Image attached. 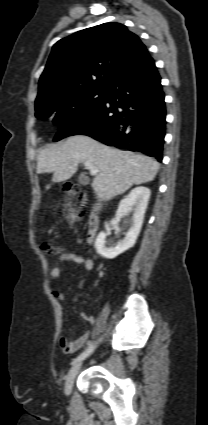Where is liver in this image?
Returning a JSON list of instances; mask_svg holds the SVG:
<instances>
[{"label": "liver", "instance_id": "1", "mask_svg": "<svg viewBox=\"0 0 208 425\" xmlns=\"http://www.w3.org/2000/svg\"><path fill=\"white\" fill-rule=\"evenodd\" d=\"M89 162L99 172L92 182L98 198L109 201L133 185L152 181L159 163L151 157L108 147L84 135L69 137L64 143L43 149L37 173H53V182L70 179L79 163ZM50 185L46 186L49 189Z\"/></svg>", "mask_w": 208, "mask_h": 425}]
</instances>
